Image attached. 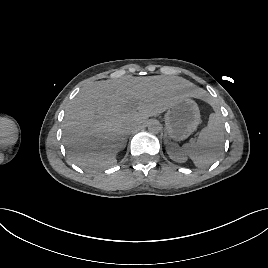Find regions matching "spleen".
I'll return each instance as SVG.
<instances>
[{"label": "spleen", "instance_id": "3e777b00", "mask_svg": "<svg viewBox=\"0 0 268 268\" xmlns=\"http://www.w3.org/2000/svg\"><path fill=\"white\" fill-rule=\"evenodd\" d=\"M224 141L223 121L218 112L209 116L208 124L203 128L194 143L183 145L182 150L196 167L204 168L215 162L220 155Z\"/></svg>", "mask_w": 268, "mask_h": 268}]
</instances>
